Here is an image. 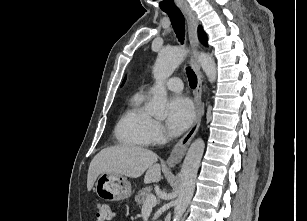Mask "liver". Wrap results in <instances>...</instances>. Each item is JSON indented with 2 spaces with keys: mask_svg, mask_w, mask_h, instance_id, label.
I'll return each instance as SVG.
<instances>
[{
  "mask_svg": "<svg viewBox=\"0 0 307 221\" xmlns=\"http://www.w3.org/2000/svg\"><path fill=\"white\" fill-rule=\"evenodd\" d=\"M158 156L139 146L117 145L101 150L91 161L88 169L87 189L90 191L100 174L111 173L138 178L145 172L144 182L161 180Z\"/></svg>",
  "mask_w": 307,
  "mask_h": 221,
  "instance_id": "obj_1",
  "label": "liver"
}]
</instances>
